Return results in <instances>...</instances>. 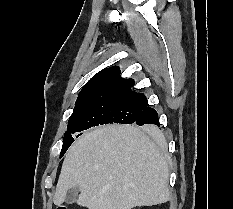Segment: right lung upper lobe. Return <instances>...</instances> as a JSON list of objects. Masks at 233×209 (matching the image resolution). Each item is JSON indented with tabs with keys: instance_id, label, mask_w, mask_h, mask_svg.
I'll list each match as a JSON object with an SVG mask.
<instances>
[{
	"instance_id": "1",
	"label": "right lung upper lobe",
	"mask_w": 233,
	"mask_h": 209,
	"mask_svg": "<svg viewBox=\"0 0 233 209\" xmlns=\"http://www.w3.org/2000/svg\"><path fill=\"white\" fill-rule=\"evenodd\" d=\"M133 79L120 76L118 66L96 73L82 88L75 103V108L99 102L144 103L146 96L132 91Z\"/></svg>"
}]
</instances>
